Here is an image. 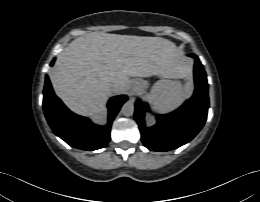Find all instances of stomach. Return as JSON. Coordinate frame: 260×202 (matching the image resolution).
Returning <instances> with one entry per match:
<instances>
[{
	"instance_id": "0dacf381",
	"label": "stomach",
	"mask_w": 260,
	"mask_h": 202,
	"mask_svg": "<svg viewBox=\"0 0 260 202\" xmlns=\"http://www.w3.org/2000/svg\"><path fill=\"white\" fill-rule=\"evenodd\" d=\"M158 84H159V83H158ZM158 84H155V85L152 87V89H151V94H152L153 89H154ZM139 85H140V87H139V91H140V92H146L147 89H148V86H149V84H148L147 81H139Z\"/></svg>"
}]
</instances>
